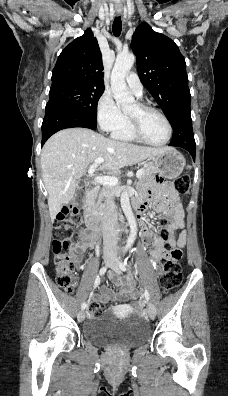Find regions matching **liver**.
Returning <instances> with one entry per match:
<instances>
[{"mask_svg":"<svg viewBox=\"0 0 228 396\" xmlns=\"http://www.w3.org/2000/svg\"><path fill=\"white\" fill-rule=\"evenodd\" d=\"M170 148L137 146L107 138L87 128H69L50 137L41 152L43 181L51 221L74 196L79 179L97 158L99 170L118 174L125 166L157 156Z\"/></svg>","mask_w":228,"mask_h":396,"instance_id":"6515ba94","label":"liver"}]
</instances>
